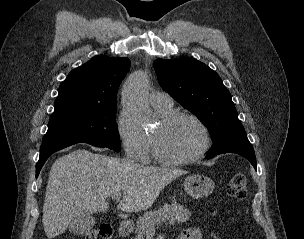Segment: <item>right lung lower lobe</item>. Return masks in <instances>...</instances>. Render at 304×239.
Masks as SVG:
<instances>
[{
    "label": "right lung lower lobe",
    "mask_w": 304,
    "mask_h": 239,
    "mask_svg": "<svg viewBox=\"0 0 304 239\" xmlns=\"http://www.w3.org/2000/svg\"><path fill=\"white\" fill-rule=\"evenodd\" d=\"M78 142H64V143H54V144H47L42 145L40 148V157L39 161L36 164V177H38L40 170L42 166L44 165L45 161L48 159L50 155H52L54 152L61 150L65 147H68L70 145H73ZM96 147H105L99 144H91Z\"/></svg>",
    "instance_id": "obj_1"
}]
</instances>
